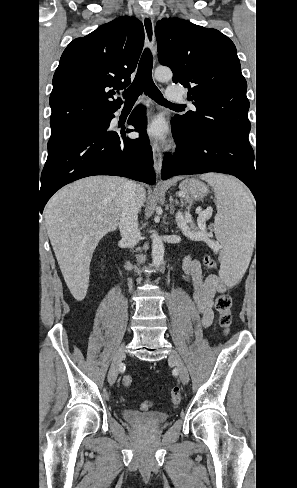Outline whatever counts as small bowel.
<instances>
[{"instance_id": "obj_1", "label": "small bowel", "mask_w": 297, "mask_h": 488, "mask_svg": "<svg viewBox=\"0 0 297 488\" xmlns=\"http://www.w3.org/2000/svg\"><path fill=\"white\" fill-rule=\"evenodd\" d=\"M183 271L187 283L192 287L195 310L204 327L211 325L214 317L213 305L217 294H226L228 286L215 274L203 276L197 259L187 256L183 260Z\"/></svg>"}]
</instances>
